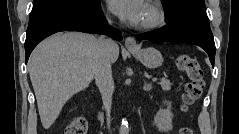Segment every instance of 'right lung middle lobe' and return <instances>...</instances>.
<instances>
[{"label":"right lung middle lobe","instance_id":"right-lung-middle-lobe-1","mask_svg":"<svg viewBox=\"0 0 239 134\" xmlns=\"http://www.w3.org/2000/svg\"><path fill=\"white\" fill-rule=\"evenodd\" d=\"M51 1H54V0H34L33 10L41 7L42 5H44L48 2H51ZM80 1L85 2V3H89V2H99L100 0H80Z\"/></svg>","mask_w":239,"mask_h":134}]
</instances>
